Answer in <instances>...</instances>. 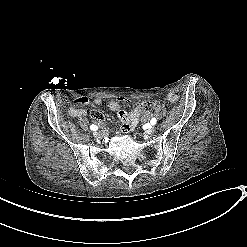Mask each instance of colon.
Here are the masks:
<instances>
[{"instance_id": "colon-1", "label": "colon", "mask_w": 247, "mask_h": 247, "mask_svg": "<svg viewBox=\"0 0 247 247\" xmlns=\"http://www.w3.org/2000/svg\"><path fill=\"white\" fill-rule=\"evenodd\" d=\"M163 104L157 101H144L141 103V109L144 112H154L162 110Z\"/></svg>"}]
</instances>
